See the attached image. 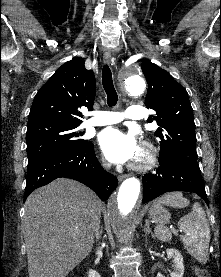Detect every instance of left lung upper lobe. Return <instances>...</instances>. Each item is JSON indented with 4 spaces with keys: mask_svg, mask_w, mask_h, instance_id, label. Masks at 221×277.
I'll return each mask as SVG.
<instances>
[{
    "mask_svg": "<svg viewBox=\"0 0 221 277\" xmlns=\"http://www.w3.org/2000/svg\"><path fill=\"white\" fill-rule=\"evenodd\" d=\"M141 68L148 82L145 105L156 112L147 121L159 126L155 132L160 140L159 161H180L200 170L193 109L186 89L150 61H143Z\"/></svg>",
    "mask_w": 221,
    "mask_h": 277,
    "instance_id": "5c2ea615",
    "label": "left lung upper lobe"
}]
</instances>
